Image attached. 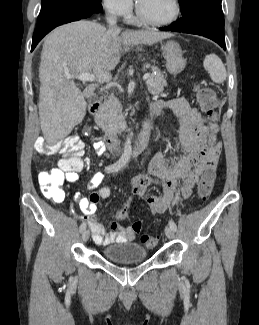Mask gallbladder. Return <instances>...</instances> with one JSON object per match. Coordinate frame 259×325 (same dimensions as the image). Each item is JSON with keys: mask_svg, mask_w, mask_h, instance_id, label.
Wrapping results in <instances>:
<instances>
[{"mask_svg": "<svg viewBox=\"0 0 259 325\" xmlns=\"http://www.w3.org/2000/svg\"><path fill=\"white\" fill-rule=\"evenodd\" d=\"M90 102H93L94 101V97H91L89 99ZM86 138H91V133H86Z\"/></svg>", "mask_w": 259, "mask_h": 325, "instance_id": "bac80fb5", "label": "gallbladder"}]
</instances>
